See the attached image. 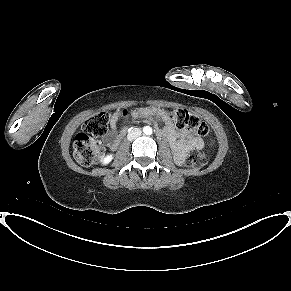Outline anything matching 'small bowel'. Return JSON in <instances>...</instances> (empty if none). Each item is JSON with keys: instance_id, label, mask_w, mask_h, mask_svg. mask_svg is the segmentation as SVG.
I'll use <instances>...</instances> for the list:
<instances>
[{"instance_id": "c3829d8e", "label": "small bowel", "mask_w": 291, "mask_h": 291, "mask_svg": "<svg viewBox=\"0 0 291 291\" xmlns=\"http://www.w3.org/2000/svg\"><path fill=\"white\" fill-rule=\"evenodd\" d=\"M121 116L122 112L120 111L113 113L110 120L111 131L105 136V142L112 150L117 148L126 133V127L119 126V119ZM152 116L163 121L164 126L158 128L157 132L168 141L178 160H180L187 151L193 149L199 150L203 147V141L200 137L192 135L187 130H178L175 123L169 118L168 113L163 108L151 106L136 109L131 112V117L133 119Z\"/></svg>"}]
</instances>
